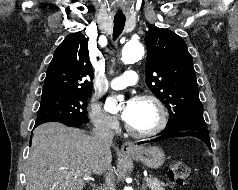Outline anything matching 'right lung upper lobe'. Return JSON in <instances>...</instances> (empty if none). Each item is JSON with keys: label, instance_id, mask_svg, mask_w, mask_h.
Wrapping results in <instances>:
<instances>
[{"label": "right lung upper lobe", "instance_id": "1", "mask_svg": "<svg viewBox=\"0 0 238 190\" xmlns=\"http://www.w3.org/2000/svg\"><path fill=\"white\" fill-rule=\"evenodd\" d=\"M88 38L81 32L66 36L54 52L44 81L42 97L59 94H90L93 71Z\"/></svg>", "mask_w": 238, "mask_h": 190}]
</instances>
